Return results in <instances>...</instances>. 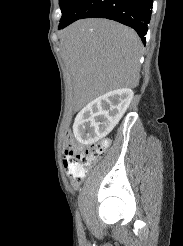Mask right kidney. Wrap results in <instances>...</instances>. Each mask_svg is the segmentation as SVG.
Masks as SVG:
<instances>
[{"label": "right kidney", "instance_id": "obj_1", "mask_svg": "<svg viewBox=\"0 0 183 246\" xmlns=\"http://www.w3.org/2000/svg\"><path fill=\"white\" fill-rule=\"evenodd\" d=\"M133 96L131 89L121 88L90 102L75 118V138L80 143L89 145L107 136L126 112Z\"/></svg>", "mask_w": 183, "mask_h": 246}]
</instances>
